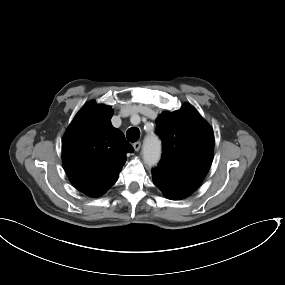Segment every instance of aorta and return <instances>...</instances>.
I'll use <instances>...</instances> for the list:
<instances>
[{"mask_svg":"<svg viewBox=\"0 0 285 285\" xmlns=\"http://www.w3.org/2000/svg\"><path fill=\"white\" fill-rule=\"evenodd\" d=\"M142 155L146 165L149 167L158 163L161 156V143L156 136L151 135L145 138Z\"/></svg>","mask_w":285,"mask_h":285,"instance_id":"aorta-1","label":"aorta"}]
</instances>
